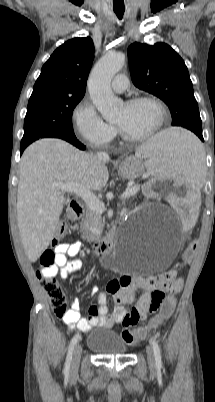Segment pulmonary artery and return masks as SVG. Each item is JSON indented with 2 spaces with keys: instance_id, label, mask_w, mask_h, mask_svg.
<instances>
[{
  "instance_id": "pulmonary-artery-1",
  "label": "pulmonary artery",
  "mask_w": 215,
  "mask_h": 402,
  "mask_svg": "<svg viewBox=\"0 0 215 402\" xmlns=\"http://www.w3.org/2000/svg\"><path fill=\"white\" fill-rule=\"evenodd\" d=\"M129 81L126 75L118 74L116 75L111 83L112 89L117 93L124 92L128 87Z\"/></svg>"
}]
</instances>
